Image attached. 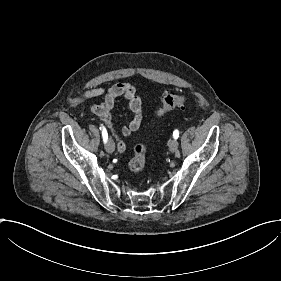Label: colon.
I'll return each instance as SVG.
<instances>
[{
	"instance_id": "obj_1",
	"label": "colon",
	"mask_w": 281,
	"mask_h": 281,
	"mask_svg": "<svg viewBox=\"0 0 281 281\" xmlns=\"http://www.w3.org/2000/svg\"><path fill=\"white\" fill-rule=\"evenodd\" d=\"M161 104L165 111H170L175 108L186 107L189 104V98L184 94L166 93L162 97ZM145 160L146 152L141 147L136 148L131 161V171L135 174L142 172L145 167Z\"/></svg>"
}]
</instances>
